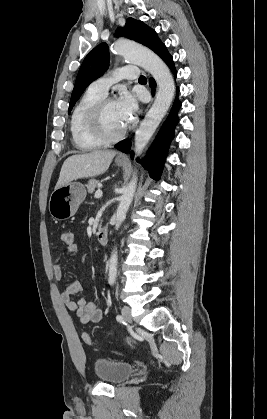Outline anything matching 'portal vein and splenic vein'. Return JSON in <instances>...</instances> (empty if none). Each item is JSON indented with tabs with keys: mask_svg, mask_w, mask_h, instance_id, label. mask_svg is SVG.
<instances>
[{
	"mask_svg": "<svg viewBox=\"0 0 267 419\" xmlns=\"http://www.w3.org/2000/svg\"><path fill=\"white\" fill-rule=\"evenodd\" d=\"M102 194H103V192H102L101 190H97V191L95 192V197H96V198H100V197L102 196Z\"/></svg>",
	"mask_w": 267,
	"mask_h": 419,
	"instance_id": "1",
	"label": "portal vein and splenic vein"
}]
</instances>
